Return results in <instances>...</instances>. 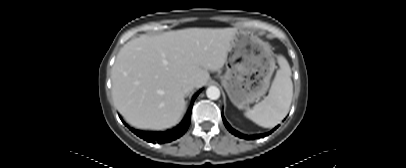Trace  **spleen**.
I'll list each match as a JSON object with an SVG mask.
<instances>
[{
    "label": "spleen",
    "mask_w": 406,
    "mask_h": 168,
    "mask_svg": "<svg viewBox=\"0 0 406 168\" xmlns=\"http://www.w3.org/2000/svg\"><path fill=\"white\" fill-rule=\"evenodd\" d=\"M280 69L272 82L268 96L245 112V116L264 128L279 124L288 114L293 96L291 69L283 56L278 57Z\"/></svg>",
    "instance_id": "spleen-1"
}]
</instances>
